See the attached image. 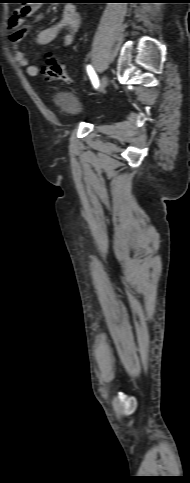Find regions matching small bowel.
<instances>
[{
	"label": "small bowel",
	"mask_w": 190,
	"mask_h": 483,
	"mask_svg": "<svg viewBox=\"0 0 190 483\" xmlns=\"http://www.w3.org/2000/svg\"><path fill=\"white\" fill-rule=\"evenodd\" d=\"M36 5H22L13 10L8 18L9 43L13 49V59L24 67L28 76H36L38 67L30 64L20 44L29 28L42 19V14L36 13ZM30 18V22L25 20ZM80 27V15L73 4H66L57 23L38 32L37 43L46 45L55 40L61 31H64L61 46H70Z\"/></svg>",
	"instance_id": "small-bowel-1"
}]
</instances>
